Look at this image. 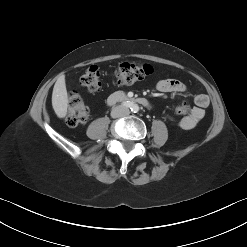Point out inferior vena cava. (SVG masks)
Returning a JSON list of instances; mask_svg holds the SVG:
<instances>
[{
    "label": "inferior vena cava",
    "mask_w": 247,
    "mask_h": 247,
    "mask_svg": "<svg viewBox=\"0 0 247 247\" xmlns=\"http://www.w3.org/2000/svg\"><path fill=\"white\" fill-rule=\"evenodd\" d=\"M115 111L117 112L118 116H127V115H129V113H130V111H129L128 108H126V107H121V106L116 107V108H115Z\"/></svg>",
    "instance_id": "1"
}]
</instances>
